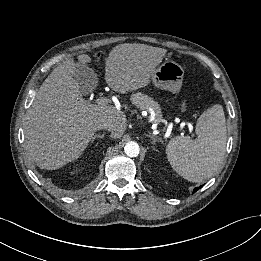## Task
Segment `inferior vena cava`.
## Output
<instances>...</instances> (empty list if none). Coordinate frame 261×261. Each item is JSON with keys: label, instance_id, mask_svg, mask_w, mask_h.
<instances>
[{"label": "inferior vena cava", "instance_id": "inferior-vena-cava-1", "mask_svg": "<svg viewBox=\"0 0 261 261\" xmlns=\"http://www.w3.org/2000/svg\"><path fill=\"white\" fill-rule=\"evenodd\" d=\"M99 129H106L108 131H112L113 130V127L110 123L108 122H105V123H102L100 126H99Z\"/></svg>", "mask_w": 261, "mask_h": 261}]
</instances>
